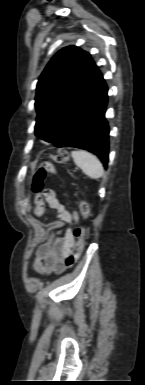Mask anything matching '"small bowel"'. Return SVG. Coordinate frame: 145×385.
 <instances>
[{"mask_svg": "<svg viewBox=\"0 0 145 385\" xmlns=\"http://www.w3.org/2000/svg\"><path fill=\"white\" fill-rule=\"evenodd\" d=\"M46 204L56 212L58 217V220L51 222L50 226L53 229L65 227V230L64 232H51L36 251L32 268L35 273L40 275L62 273L70 267L68 258L75 245V239L69 226L78 219L77 213L68 211L52 189L44 190L38 196V201L35 200L34 214L37 217L44 215Z\"/></svg>", "mask_w": 145, "mask_h": 385, "instance_id": "c3829d8e", "label": "small bowel"}]
</instances>
